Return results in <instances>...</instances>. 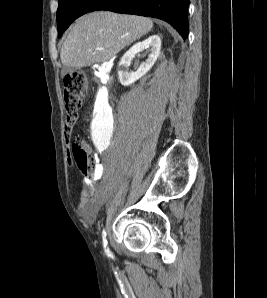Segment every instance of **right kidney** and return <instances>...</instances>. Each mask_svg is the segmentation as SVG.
Masks as SVG:
<instances>
[{
	"label": "right kidney",
	"instance_id": "obj_1",
	"mask_svg": "<svg viewBox=\"0 0 267 298\" xmlns=\"http://www.w3.org/2000/svg\"><path fill=\"white\" fill-rule=\"evenodd\" d=\"M150 47L148 59L143 62L136 72H129L131 60L135 55L145 48ZM161 49V38L158 35H152L142 42L133 45L122 57L119 63V81L123 86H128L143 77L154 65L159 57Z\"/></svg>",
	"mask_w": 267,
	"mask_h": 298
}]
</instances>
